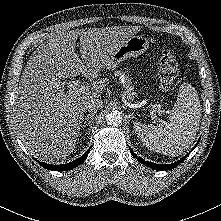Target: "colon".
<instances>
[{
	"instance_id": "1",
	"label": "colon",
	"mask_w": 221,
	"mask_h": 221,
	"mask_svg": "<svg viewBox=\"0 0 221 221\" xmlns=\"http://www.w3.org/2000/svg\"><path fill=\"white\" fill-rule=\"evenodd\" d=\"M159 69V85L163 90H169L177 75H178V62L175 54L165 49L158 62Z\"/></svg>"
}]
</instances>
